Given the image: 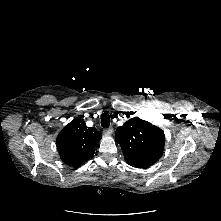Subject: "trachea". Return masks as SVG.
Here are the masks:
<instances>
[{"instance_id":"1","label":"trachea","mask_w":221,"mask_h":221,"mask_svg":"<svg viewBox=\"0 0 221 221\" xmlns=\"http://www.w3.org/2000/svg\"><path fill=\"white\" fill-rule=\"evenodd\" d=\"M101 126L104 128L110 126V115L107 112H104L101 116Z\"/></svg>"}]
</instances>
